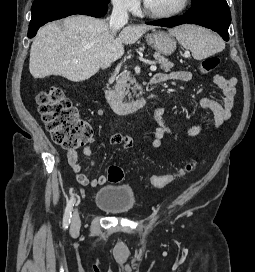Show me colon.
Listing matches in <instances>:
<instances>
[{"label": "colon", "mask_w": 255, "mask_h": 272, "mask_svg": "<svg viewBox=\"0 0 255 272\" xmlns=\"http://www.w3.org/2000/svg\"><path fill=\"white\" fill-rule=\"evenodd\" d=\"M219 65V58L215 55L208 56L201 61L200 72L208 74ZM38 112L46 129L50 132L53 141L65 150H76L93 138L91 125L79 118L77 110L64 96L58 87H51L38 94ZM196 166L195 160L188 161L177 172L165 175H153L149 178L150 184L162 188L172 183L177 178L189 174ZM123 170L117 165H111L108 177L111 182L123 179Z\"/></svg>", "instance_id": "5ec220e1"}]
</instances>
